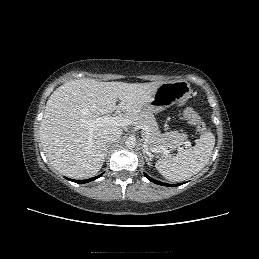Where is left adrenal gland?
<instances>
[{
	"instance_id": "a2214340",
	"label": "left adrenal gland",
	"mask_w": 259,
	"mask_h": 259,
	"mask_svg": "<svg viewBox=\"0 0 259 259\" xmlns=\"http://www.w3.org/2000/svg\"><path fill=\"white\" fill-rule=\"evenodd\" d=\"M142 153H143V155H144V158H145L147 164H148V165H151L150 162H149V158H148L147 155H146V150H145L144 148L142 149Z\"/></svg>"
}]
</instances>
